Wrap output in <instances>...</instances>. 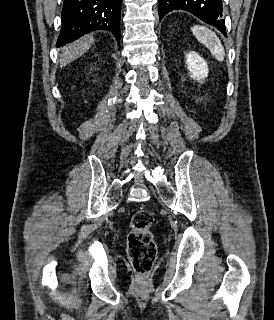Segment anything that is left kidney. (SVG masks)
<instances>
[{
    "instance_id": "1",
    "label": "left kidney",
    "mask_w": 274,
    "mask_h": 320,
    "mask_svg": "<svg viewBox=\"0 0 274 320\" xmlns=\"http://www.w3.org/2000/svg\"><path fill=\"white\" fill-rule=\"evenodd\" d=\"M186 64L187 70H189L193 80H204V78H207L208 66L199 54H196V52H188ZM200 84H203V82H200Z\"/></svg>"
}]
</instances>
